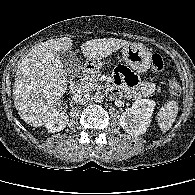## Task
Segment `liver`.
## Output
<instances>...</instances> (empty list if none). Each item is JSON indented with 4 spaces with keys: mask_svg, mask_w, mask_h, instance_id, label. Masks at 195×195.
I'll return each mask as SVG.
<instances>
[{
    "mask_svg": "<svg viewBox=\"0 0 195 195\" xmlns=\"http://www.w3.org/2000/svg\"><path fill=\"white\" fill-rule=\"evenodd\" d=\"M130 44L116 38L93 39L81 45V52L90 60H102ZM72 45L68 37L43 42L34 47L18 66L13 99L18 114L27 124L41 127L58 110L68 81L57 52L67 51Z\"/></svg>",
    "mask_w": 195,
    "mask_h": 195,
    "instance_id": "obj_1",
    "label": "liver"
}]
</instances>
